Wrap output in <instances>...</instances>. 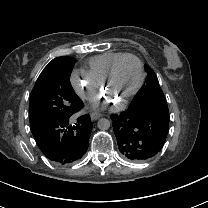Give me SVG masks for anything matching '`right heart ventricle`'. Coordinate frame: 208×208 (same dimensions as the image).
<instances>
[{
	"instance_id": "obj_1",
	"label": "right heart ventricle",
	"mask_w": 208,
	"mask_h": 208,
	"mask_svg": "<svg viewBox=\"0 0 208 208\" xmlns=\"http://www.w3.org/2000/svg\"><path fill=\"white\" fill-rule=\"evenodd\" d=\"M125 53L122 52H108L88 60V71L91 77L100 84L107 76L113 64L123 57Z\"/></svg>"
}]
</instances>
